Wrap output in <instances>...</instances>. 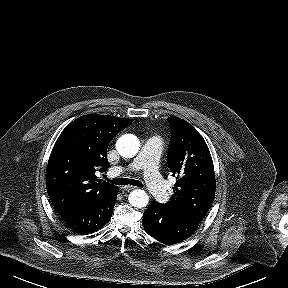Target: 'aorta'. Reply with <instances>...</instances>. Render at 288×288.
Wrapping results in <instances>:
<instances>
[{"mask_svg": "<svg viewBox=\"0 0 288 288\" xmlns=\"http://www.w3.org/2000/svg\"><path fill=\"white\" fill-rule=\"evenodd\" d=\"M139 140L133 134H125L121 136L116 142V149L118 153L125 158L134 157L139 150ZM129 203L136 208L147 206L149 196L144 190H134L129 194Z\"/></svg>", "mask_w": 288, "mask_h": 288, "instance_id": "1", "label": "aorta"}]
</instances>
